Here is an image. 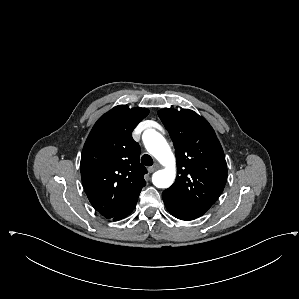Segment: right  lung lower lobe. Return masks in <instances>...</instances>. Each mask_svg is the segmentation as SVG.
I'll list each match as a JSON object with an SVG mask.
<instances>
[{"label": "right lung lower lobe", "instance_id": "98d812e1", "mask_svg": "<svg viewBox=\"0 0 299 299\" xmlns=\"http://www.w3.org/2000/svg\"><path fill=\"white\" fill-rule=\"evenodd\" d=\"M136 203H137V201L134 202L130 207H128L127 209H125L122 213H120L119 215H117L116 217H114L113 220H115V221L116 220H120V219L126 217L127 215H129L133 211V209L135 208Z\"/></svg>", "mask_w": 299, "mask_h": 299}]
</instances>
